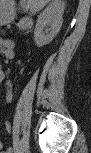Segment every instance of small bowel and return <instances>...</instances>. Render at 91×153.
I'll list each match as a JSON object with an SVG mask.
<instances>
[{
    "instance_id": "1",
    "label": "small bowel",
    "mask_w": 91,
    "mask_h": 153,
    "mask_svg": "<svg viewBox=\"0 0 91 153\" xmlns=\"http://www.w3.org/2000/svg\"><path fill=\"white\" fill-rule=\"evenodd\" d=\"M7 46H8V48H9V51L12 50V43H11V42H9V43L7 44ZM7 56H10V54H8V52H7ZM4 77H5V75H4L3 73H1V74H0L1 80H3ZM8 85L10 86V84H8ZM12 98H13V93H12V91H8V92L6 93V95H5V100H6V102H7V103L11 102V101H12ZM10 152H12V149L9 148V149H8V153H10Z\"/></svg>"
}]
</instances>
